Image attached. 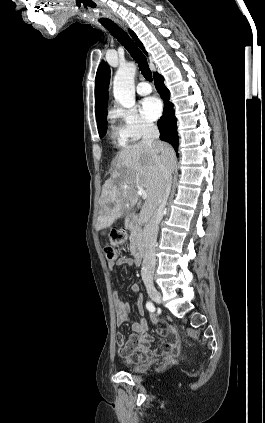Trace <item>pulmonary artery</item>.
Segmentation results:
<instances>
[{
	"label": "pulmonary artery",
	"instance_id": "1",
	"mask_svg": "<svg viewBox=\"0 0 265 423\" xmlns=\"http://www.w3.org/2000/svg\"><path fill=\"white\" fill-rule=\"evenodd\" d=\"M136 91L139 95H148L152 92V87L148 82L140 81L136 86Z\"/></svg>",
	"mask_w": 265,
	"mask_h": 423
}]
</instances>
